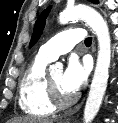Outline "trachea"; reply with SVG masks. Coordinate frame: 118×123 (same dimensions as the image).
Wrapping results in <instances>:
<instances>
[{
  "label": "trachea",
  "instance_id": "3493384b",
  "mask_svg": "<svg viewBox=\"0 0 118 123\" xmlns=\"http://www.w3.org/2000/svg\"><path fill=\"white\" fill-rule=\"evenodd\" d=\"M91 43H92V37H88V38L85 39V44L86 45H91Z\"/></svg>",
  "mask_w": 118,
  "mask_h": 123
}]
</instances>
